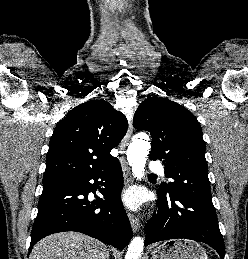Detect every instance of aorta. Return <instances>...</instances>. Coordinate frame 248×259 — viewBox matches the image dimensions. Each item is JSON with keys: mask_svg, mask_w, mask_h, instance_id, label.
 Here are the masks:
<instances>
[{"mask_svg": "<svg viewBox=\"0 0 248 259\" xmlns=\"http://www.w3.org/2000/svg\"><path fill=\"white\" fill-rule=\"evenodd\" d=\"M150 150V143L146 135H138L134 138L127 150V159L132 168L133 175L137 179L143 178L144 167ZM141 247L139 241L135 240L129 248L128 259H138Z\"/></svg>", "mask_w": 248, "mask_h": 259, "instance_id": "1", "label": "aorta"}]
</instances>
